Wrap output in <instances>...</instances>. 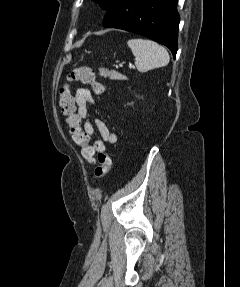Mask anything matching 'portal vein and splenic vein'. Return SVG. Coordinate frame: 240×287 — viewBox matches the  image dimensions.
Returning a JSON list of instances; mask_svg holds the SVG:
<instances>
[{
    "mask_svg": "<svg viewBox=\"0 0 240 287\" xmlns=\"http://www.w3.org/2000/svg\"><path fill=\"white\" fill-rule=\"evenodd\" d=\"M129 68L130 69H135V66L134 65H130Z\"/></svg>",
    "mask_w": 240,
    "mask_h": 287,
    "instance_id": "portal-vein-and-splenic-vein-1",
    "label": "portal vein and splenic vein"
}]
</instances>
